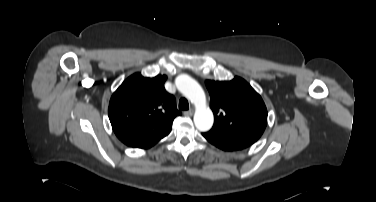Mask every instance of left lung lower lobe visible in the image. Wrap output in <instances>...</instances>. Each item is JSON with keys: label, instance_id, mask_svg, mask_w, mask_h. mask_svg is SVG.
I'll return each instance as SVG.
<instances>
[{"label": "left lung lower lobe", "instance_id": "0a47b994", "mask_svg": "<svg viewBox=\"0 0 376 202\" xmlns=\"http://www.w3.org/2000/svg\"><path fill=\"white\" fill-rule=\"evenodd\" d=\"M206 140H208L211 144L215 145L216 147L226 150V151H234L240 150L249 147L252 145V142L244 140L242 138L229 135L219 130L211 129L208 132L202 134Z\"/></svg>", "mask_w": 376, "mask_h": 202}]
</instances>
